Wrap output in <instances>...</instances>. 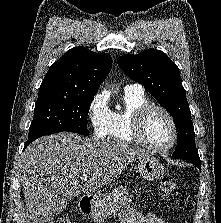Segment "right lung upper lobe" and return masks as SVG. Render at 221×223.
<instances>
[{
	"mask_svg": "<svg viewBox=\"0 0 221 223\" xmlns=\"http://www.w3.org/2000/svg\"><path fill=\"white\" fill-rule=\"evenodd\" d=\"M111 67L112 58L107 53H95L83 47L72 48L49 68L37 101L94 96Z\"/></svg>",
	"mask_w": 221,
	"mask_h": 223,
	"instance_id": "obj_1",
	"label": "right lung upper lobe"
}]
</instances>
